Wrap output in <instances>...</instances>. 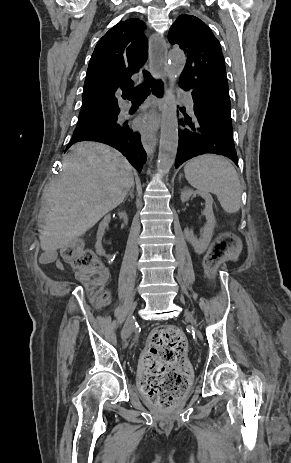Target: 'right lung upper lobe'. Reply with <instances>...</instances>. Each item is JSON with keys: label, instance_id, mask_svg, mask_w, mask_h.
<instances>
[{"label": "right lung upper lobe", "instance_id": "right-lung-upper-lobe-1", "mask_svg": "<svg viewBox=\"0 0 291 463\" xmlns=\"http://www.w3.org/2000/svg\"><path fill=\"white\" fill-rule=\"evenodd\" d=\"M139 19L121 21L97 43L91 56L79 119L119 112L116 91L134 86L131 76L146 62L148 42Z\"/></svg>", "mask_w": 291, "mask_h": 463}]
</instances>
